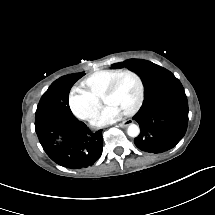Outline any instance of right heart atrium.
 Listing matches in <instances>:
<instances>
[{"label": "right heart atrium", "instance_id": "d8ad5b80", "mask_svg": "<svg viewBox=\"0 0 215 215\" xmlns=\"http://www.w3.org/2000/svg\"><path fill=\"white\" fill-rule=\"evenodd\" d=\"M69 106L74 114L82 120H92L100 111L99 100L92 94L73 87L69 94Z\"/></svg>", "mask_w": 215, "mask_h": 215}]
</instances>
